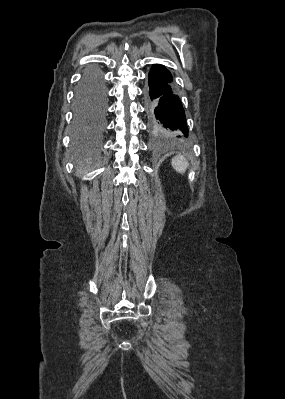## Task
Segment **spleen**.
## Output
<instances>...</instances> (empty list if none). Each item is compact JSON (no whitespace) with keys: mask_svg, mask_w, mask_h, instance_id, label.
<instances>
[{"mask_svg":"<svg viewBox=\"0 0 285 399\" xmlns=\"http://www.w3.org/2000/svg\"><path fill=\"white\" fill-rule=\"evenodd\" d=\"M172 167L179 173H185L189 164L186 158L182 155H177L171 160Z\"/></svg>","mask_w":285,"mask_h":399,"instance_id":"1","label":"spleen"}]
</instances>
